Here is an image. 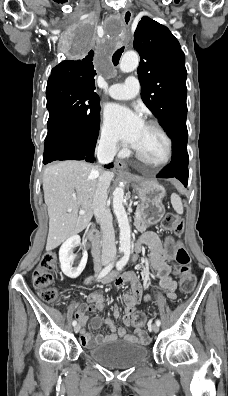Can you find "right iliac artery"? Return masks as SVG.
<instances>
[{
	"label": "right iliac artery",
	"instance_id": "82829eb1",
	"mask_svg": "<svg viewBox=\"0 0 228 396\" xmlns=\"http://www.w3.org/2000/svg\"><path fill=\"white\" fill-rule=\"evenodd\" d=\"M113 266H114V261H113L112 263H110L108 266H106V267L99 273L98 279H100V278L106 276V275L110 272V270L113 268ZM72 325H73V326L77 325L76 320H74V321L72 322Z\"/></svg>",
	"mask_w": 228,
	"mask_h": 396
}]
</instances>
